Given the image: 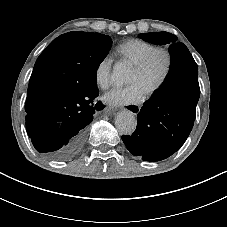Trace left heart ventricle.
<instances>
[{
  "label": "left heart ventricle",
  "mask_w": 227,
  "mask_h": 227,
  "mask_svg": "<svg viewBox=\"0 0 227 227\" xmlns=\"http://www.w3.org/2000/svg\"><path fill=\"white\" fill-rule=\"evenodd\" d=\"M164 61L161 57L156 58L144 74H137L134 71L130 76L129 83L139 84L145 90L155 84L163 71Z\"/></svg>",
  "instance_id": "1"
}]
</instances>
